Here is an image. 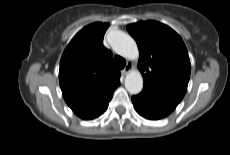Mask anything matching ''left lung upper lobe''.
<instances>
[{
  "mask_svg": "<svg viewBox=\"0 0 230 155\" xmlns=\"http://www.w3.org/2000/svg\"><path fill=\"white\" fill-rule=\"evenodd\" d=\"M127 30L139 48L143 90L178 105L186 93L191 71L182 38L156 21L130 24Z\"/></svg>",
  "mask_w": 230,
  "mask_h": 155,
  "instance_id": "1",
  "label": "left lung upper lobe"
}]
</instances>
